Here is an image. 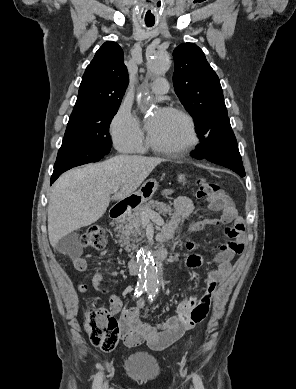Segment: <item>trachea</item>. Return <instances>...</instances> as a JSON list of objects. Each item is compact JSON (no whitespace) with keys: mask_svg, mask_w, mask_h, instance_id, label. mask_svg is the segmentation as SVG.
I'll list each match as a JSON object with an SVG mask.
<instances>
[{"mask_svg":"<svg viewBox=\"0 0 296 389\" xmlns=\"http://www.w3.org/2000/svg\"><path fill=\"white\" fill-rule=\"evenodd\" d=\"M148 27H151L152 25H147Z\"/></svg>","mask_w":296,"mask_h":389,"instance_id":"obj_1","label":"trachea"}]
</instances>
